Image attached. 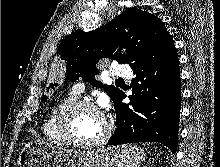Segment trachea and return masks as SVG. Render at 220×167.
<instances>
[{"instance_id":"1","label":"trachea","mask_w":220,"mask_h":167,"mask_svg":"<svg viewBox=\"0 0 220 167\" xmlns=\"http://www.w3.org/2000/svg\"><path fill=\"white\" fill-rule=\"evenodd\" d=\"M118 81H123V79H118Z\"/></svg>"}]
</instances>
